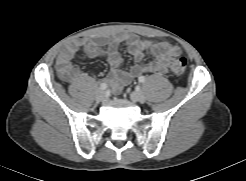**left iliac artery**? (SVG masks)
<instances>
[{"instance_id": "obj_1", "label": "left iliac artery", "mask_w": 246, "mask_h": 181, "mask_svg": "<svg viewBox=\"0 0 246 181\" xmlns=\"http://www.w3.org/2000/svg\"><path fill=\"white\" fill-rule=\"evenodd\" d=\"M138 80H139L140 83H144L146 81V78H145V76H140L138 78Z\"/></svg>"}]
</instances>
